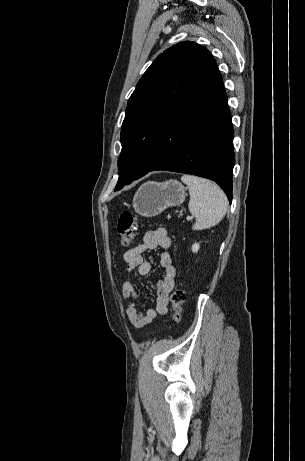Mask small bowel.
Wrapping results in <instances>:
<instances>
[{
    "label": "small bowel",
    "mask_w": 305,
    "mask_h": 461,
    "mask_svg": "<svg viewBox=\"0 0 305 461\" xmlns=\"http://www.w3.org/2000/svg\"><path fill=\"white\" fill-rule=\"evenodd\" d=\"M170 246L171 239L164 228L148 231L140 244L124 252L123 260L127 270L136 272L140 276L148 275L151 271V264L143 258V253L156 248L167 250ZM160 264L164 270V276L157 284L158 296L154 308H148L144 312L140 311L136 305L139 295L135 285L126 281L122 286V295L128 301L126 308L128 321L137 328L148 325L158 314H165L168 311L169 294L175 286L176 268L167 251L161 254Z\"/></svg>",
    "instance_id": "small-bowel-1"
}]
</instances>
